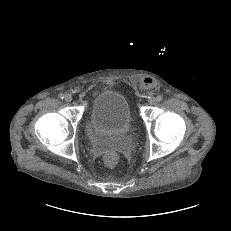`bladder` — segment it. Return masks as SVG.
I'll list each match as a JSON object with an SVG mask.
<instances>
[{
    "label": "bladder",
    "mask_w": 231,
    "mask_h": 231,
    "mask_svg": "<svg viewBox=\"0 0 231 231\" xmlns=\"http://www.w3.org/2000/svg\"><path fill=\"white\" fill-rule=\"evenodd\" d=\"M86 120L97 130L106 131L116 138L126 135L133 127L128 99L115 90H104L95 96Z\"/></svg>",
    "instance_id": "bladder-1"
}]
</instances>
